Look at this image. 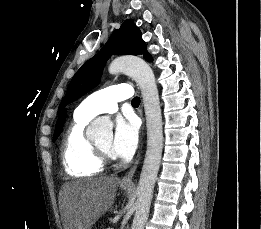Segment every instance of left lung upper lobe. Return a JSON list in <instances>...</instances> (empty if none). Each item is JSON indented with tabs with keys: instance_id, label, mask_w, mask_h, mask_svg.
I'll return each instance as SVG.
<instances>
[{
	"instance_id": "1",
	"label": "left lung upper lobe",
	"mask_w": 261,
	"mask_h": 229,
	"mask_svg": "<svg viewBox=\"0 0 261 229\" xmlns=\"http://www.w3.org/2000/svg\"><path fill=\"white\" fill-rule=\"evenodd\" d=\"M112 54H143L147 61H152L138 27L134 25L133 20L125 21L119 30L114 31L107 44L73 76L58 112L99 84L102 70Z\"/></svg>"
}]
</instances>
